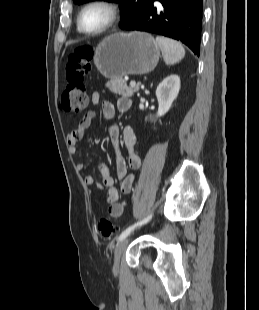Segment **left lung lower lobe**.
Returning <instances> with one entry per match:
<instances>
[{
  "mask_svg": "<svg viewBox=\"0 0 259 310\" xmlns=\"http://www.w3.org/2000/svg\"><path fill=\"white\" fill-rule=\"evenodd\" d=\"M155 2L162 4L157 11ZM203 0H150L137 17L120 26L174 38L200 55Z\"/></svg>",
  "mask_w": 259,
  "mask_h": 310,
  "instance_id": "1",
  "label": "left lung lower lobe"
}]
</instances>
